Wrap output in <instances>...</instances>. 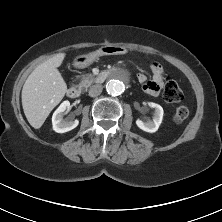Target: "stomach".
<instances>
[{
  "label": "stomach",
  "instance_id": "1",
  "mask_svg": "<svg viewBox=\"0 0 222 222\" xmlns=\"http://www.w3.org/2000/svg\"><path fill=\"white\" fill-rule=\"evenodd\" d=\"M126 49L121 46L106 45L97 52L77 56L73 61V66L83 69L91 65L99 56L125 54Z\"/></svg>",
  "mask_w": 222,
  "mask_h": 222
}]
</instances>
